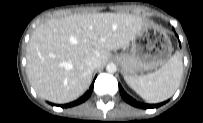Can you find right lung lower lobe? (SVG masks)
<instances>
[{
  "mask_svg": "<svg viewBox=\"0 0 203 123\" xmlns=\"http://www.w3.org/2000/svg\"><path fill=\"white\" fill-rule=\"evenodd\" d=\"M93 87H94V82L90 86L89 90L81 98H79L78 100L71 102L69 104L61 105V107H72V106L78 105V104L86 101L89 98V96L91 95V93L93 91Z\"/></svg>",
  "mask_w": 203,
  "mask_h": 123,
  "instance_id": "1",
  "label": "right lung lower lobe"
}]
</instances>
